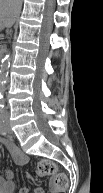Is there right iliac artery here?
Segmentation results:
<instances>
[{"instance_id": "obj_1", "label": "right iliac artery", "mask_w": 103, "mask_h": 193, "mask_svg": "<svg viewBox=\"0 0 103 193\" xmlns=\"http://www.w3.org/2000/svg\"><path fill=\"white\" fill-rule=\"evenodd\" d=\"M0 133L2 135H6L7 134L6 125H5L3 120H1V122H0Z\"/></svg>"}]
</instances>
